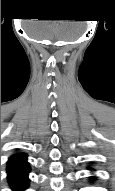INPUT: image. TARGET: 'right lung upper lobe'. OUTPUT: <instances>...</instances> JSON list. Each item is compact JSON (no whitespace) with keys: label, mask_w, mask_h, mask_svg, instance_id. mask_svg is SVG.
I'll list each match as a JSON object with an SVG mask.
<instances>
[{"label":"right lung upper lobe","mask_w":115,"mask_h":191,"mask_svg":"<svg viewBox=\"0 0 115 191\" xmlns=\"http://www.w3.org/2000/svg\"><path fill=\"white\" fill-rule=\"evenodd\" d=\"M26 159L27 155L24 153L12 155L7 162V172L30 169L29 163L26 161Z\"/></svg>","instance_id":"obj_1"}]
</instances>
